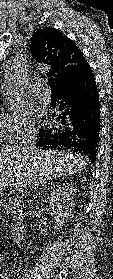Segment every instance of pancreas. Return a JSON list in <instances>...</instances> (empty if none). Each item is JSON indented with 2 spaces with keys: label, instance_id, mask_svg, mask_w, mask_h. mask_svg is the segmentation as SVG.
Here are the masks:
<instances>
[{
  "label": "pancreas",
  "instance_id": "cf45deb5",
  "mask_svg": "<svg viewBox=\"0 0 113 279\" xmlns=\"http://www.w3.org/2000/svg\"><path fill=\"white\" fill-rule=\"evenodd\" d=\"M21 200L19 197L17 196H14V197H10L9 198V201L5 204V208L8 210V211H12L16 209H19L22 205H21ZM14 221H16V219H14Z\"/></svg>",
  "mask_w": 113,
  "mask_h": 279
}]
</instances>
